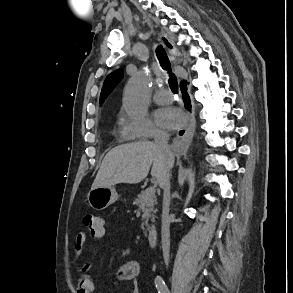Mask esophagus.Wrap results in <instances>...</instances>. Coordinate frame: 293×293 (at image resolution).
Instances as JSON below:
<instances>
[{
    "mask_svg": "<svg viewBox=\"0 0 293 293\" xmlns=\"http://www.w3.org/2000/svg\"><path fill=\"white\" fill-rule=\"evenodd\" d=\"M171 59H172V60H175V57L173 56V54H171Z\"/></svg>",
    "mask_w": 293,
    "mask_h": 293,
    "instance_id": "1",
    "label": "esophagus"
}]
</instances>
